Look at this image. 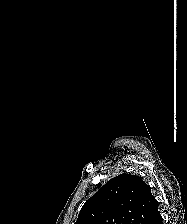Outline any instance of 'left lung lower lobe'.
<instances>
[{
  "label": "left lung lower lobe",
  "instance_id": "0a47b994",
  "mask_svg": "<svg viewBox=\"0 0 187 224\" xmlns=\"http://www.w3.org/2000/svg\"><path fill=\"white\" fill-rule=\"evenodd\" d=\"M162 221H163V219H162L161 215L159 214L151 224H163Z\"/></svg>",
  "mask_w": 187,
  "mask_h": 224
}]
</instances>
